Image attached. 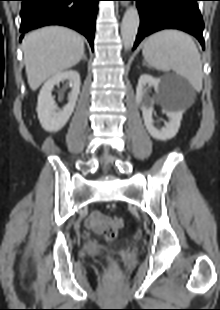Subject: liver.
I'll return each mask as SVG.
<instances>
[{
	"mask_svg": "<svg viewBox=\"0 0 220 310\" xmlns=\"http://www.w3.org/2000/svg\"><path fill=\"white\" fill-rule=\"evenodd\" d=\"M22 49L28 84L33 91L51 76L76 65L85 50L78 33L60 26L29 33L22 42Z\"/></svg>",
	"mask_w": 220,
	"mask_h": 310,
	"instance_id": "liver-1",
	"label": "liver"
}]
</instances>
